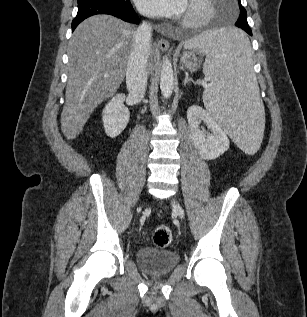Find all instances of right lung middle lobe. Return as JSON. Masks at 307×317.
Masks as SVG:
<instances>
[{
  "mask_svg": "<svg viewBox=\"0 0 307 317\" xmlns=\"http://www.w3.org/2000/svg\"><path fill=\"white\" fill-rule=\"evenodd\" d=\"M82 1H85V0H78V3L82 2ZM105 1H109L112 3H116V4H122V3H125L127 0H105Z\"/></svg>",
  "mask_w": 307,
  "mask_h": 317,
  "instance_id": "right-lung-middle-lobe-1",
  "label": "right lung middle lobe"
}]
</instances>
